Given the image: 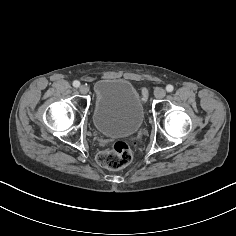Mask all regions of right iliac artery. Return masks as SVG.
Listing matches in <instances>:
<instances>
[{
    "label": "right iliac artery",
    "instance_id": "right-iliac-artery-1",
    "mask_svg": "<svg viewBox=\"0 0 236 236\" xmlns=\"http://www.w3.org/2000/svg\"><path fill=\"white\" fill-rule=\"evenodd\" d=\"M73 86L74 87H79L80 86V82L79 81H77V80H75L74 82H73Z\"/></svg>",
    "mask_w": 236,
    "mask_h": 236
}]
</instances>
